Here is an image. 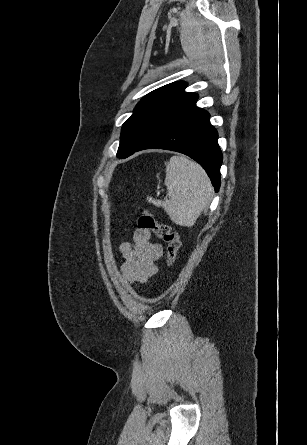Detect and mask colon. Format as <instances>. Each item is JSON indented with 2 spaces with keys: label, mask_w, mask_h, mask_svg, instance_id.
Masks as SVG:
<instances>
[{
  "label": "colon",
  "mask_w": 307,
  "mask_h": 445,
  "mask_svg": "<svg viewBox=\"0 0 307 445\" xmlns=\"http://www.w3.org/2000/svg\"><path fill=\"white\" fill-rule=\"evenodd\" d=\"M139 228L153 232L158 238L166 243V261L168 267L173 266L177 259L178 251L181 246L178 232L169 225L158 222L152 212L143 208L141 216L138 219Z\"/></svg>",
  "instance_id": "obj_1"
}]
</instances>
